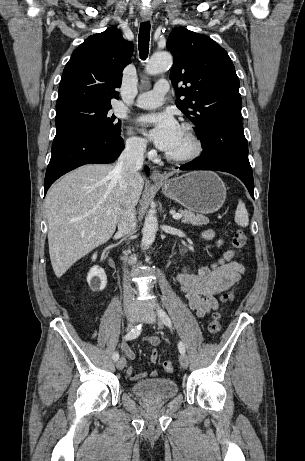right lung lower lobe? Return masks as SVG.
<instances>
[{"label":"right lung lower lobe","mask_w":305,"mask_h":461,"mask_svg":"<svg viewBox=\"0 0 305 461\" xmlns=\"http://www.w3.org/2000/svg\"><path fill=\"white\" fill-rule=\"evenodd\" d=\"M124 149L120 135H106L81 129L56 132L52 155L46 170L44 195L51 184L65 173L84 164L114 162ZM149 172L148 167L145 168Z\"/></svg>","instance_id":"1"}]
</instances>
